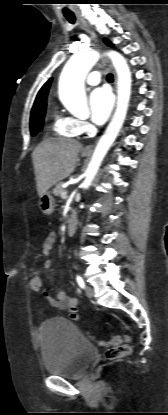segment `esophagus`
<instances>
[{"label":"esophagus","instance_id":"1","mask_svg":"<svg viewBox=\"0 0 168 415\" xmlns=\"http://www.w3.org/2000/svg\"><path fill=\"white\" fill-rule=\"evenodd\" d=\"M79 23L81 25V27L90 34V36L92 37V39L95 41L96 45L99 46L98 41L96 39V35L93 32V30L91 29V27L89 26V24L81 17V16H77ZM101 63L104 66H108L110 68V70L113 72L114 75V81H116V73L112 67V65L110 64L109 60L106 58H101ZM93 149V144L88 145L84 148V151H92Z\"/></svg>","mask_w":168,"mask_h":415}]
</instances>
